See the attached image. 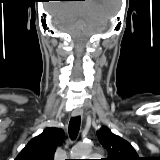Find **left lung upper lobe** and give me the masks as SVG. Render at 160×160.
I'll use <instances>...</instances> for the list:
<instances>
[{"mask_svg": "<svg viewBox=\"0 0 160 160\" xmlns=\"http://www.w3.org/2000/svg\"><path fill=\"white\" fill-rule=\"evenodd\" d=\"M97 137L108 153V158L102 160H141L129 142L113 134L106 126L97 132Z\"/></svg>", "mask_w": 160, "mask_h": 160, "instance_id": "left-lung-upper-lobe-1", "label": "left lung upper lobe"}]
</instances>
